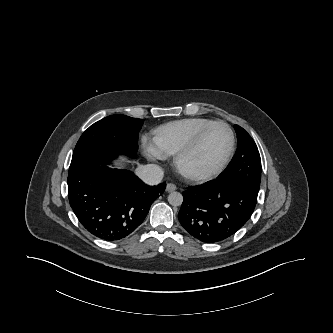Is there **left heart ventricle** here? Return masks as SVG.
<instances>
[{
	"instance_id": "b2bd125f",
	"label": "left heart ventricle",
	"mask_w": 333,
	"mask_h": 333,
	"mask_svg": "<svg viewBox=\"0 0 333 333\" xmlns=\"http://www.w3.org/2000/svg\"><path fill=\"white\" fill-rule=\"evenodd\" d=\"M230 146V136L223 126H214L204 137L196 151L185 160V167L197 173L217 168Z\"/></svg>"
}]
</instances>
